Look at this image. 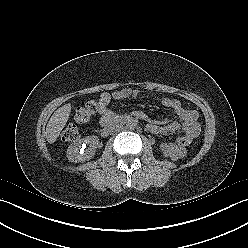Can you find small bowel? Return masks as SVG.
I'll use <instances>...</instances> for the list:
<instances>
[{"mask_svg":"<svg viewBox=\"0 0 248 248\" xmlns=\"http://www.w3.org/2000/svg\"><path fill=\"white\" fill-rule=\"evenodd\" d=\"M138 95L137 90L130 88H122L115 90L112 94L107 92L99 96V109L100 123L104 126L106 123L117 117L114 110L108 107L111 99L124 100L127 98H135ZM161 104L169 109L181 120V123L176 121L168 122L163 125L156 123H149L148 129L153 134H172L178 130H182L185 136L195 139L200 133V124L198 122V112L193 109L184 107L177 99L170 97L161 98Z\"/></svg>","mask_w":248,"mask_h":248,"instance_id":"obj_1","label":"small bowel"}]
</instances>
